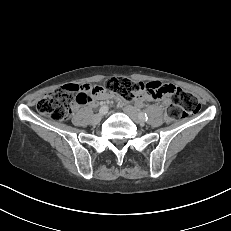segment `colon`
<instances>
[{
    "instance_id": "colon-1",
    "label": "colon",
    "mask_w": 231,
    "mask_h": 231,
    "mask_svg": "<svg viewBox=\"0 0 231 231\" xmlns=\"http://www.w3.org/2000/svg\"><path fill=\"white\" fill-rule=\"evenodd\" d=\"M161 82L143 83L122 77H111L106 80L104 87H99L105 91L122 95L127 100H132L140 95L145 89L161 92ZM86 95L78 85L67 84L52 93H49L37 102L36 109L42 116L55 121H64L71 114L72 103L84 104L88 101ZM200 108L197 98L180 88L172 91V102L167 105L166 119L174 122L182 119L186 114L196 113Z\"/></svg>"
}]
</instances>
